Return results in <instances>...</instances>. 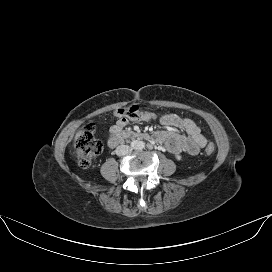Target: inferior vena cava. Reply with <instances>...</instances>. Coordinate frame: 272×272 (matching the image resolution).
Segmentation results:
<instances>
[{
  "mask_svg": "<svg viewBox=\"0 0 272 272\" xmlns=\"http://www.w3.org/2000/svg\"><path fill=\"white\" fill-rule=\"evenodd\" d=\"M131 151H132V148L130 146L122 144L116 148L115 153L118 156H124L131 153Z\"/></svg>",
  "mask_w": 272,
  "mask_h": 272,
  "instance_id": "602c4592",
  "label": "inferior vena cava"
}]
</instances>
